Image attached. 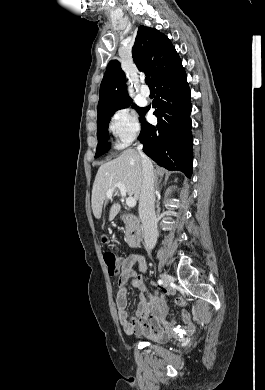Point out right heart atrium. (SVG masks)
Masks as SVG:
<instances>
[{"mask_svg": "<svg viewBox=\"0 0 265 390\" xmlns=\"http://www.w3.org/2000/svg\"><path fill=\"white\" fill-rule=\"evenodd\" d=\"M109 131L117 147L123 148L129 145L140 132L136 111L130 107L117 109L110 118Z\"/></svg>", "mask_w": 265, "mask_h": 390, "instance_id": "obj_1", "label": "right heart atrium"}]
</instances>
